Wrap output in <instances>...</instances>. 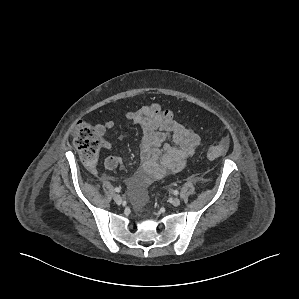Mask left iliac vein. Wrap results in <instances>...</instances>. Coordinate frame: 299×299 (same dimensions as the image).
Wrapping results in <instances>:
<instances>
[{
  "instance_id": "1",
  "label": "left iliac vein",
  "mask_w": 299,
  "mask_h": 299,
  "mask_svg": "<svg viewBox=\"0 0 299 299\" xmlns=\"http://www.w3.org/2000/svg\"><path fill=\"white\" fill-rule=\"evenodd\" d=\"M173 206H179L180 205V199L179 198H173L171 201Z\"/></svg>"
}]
</instances>
